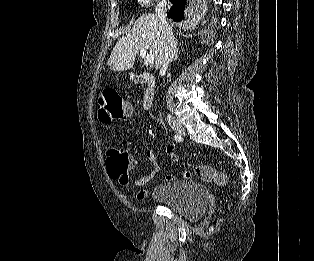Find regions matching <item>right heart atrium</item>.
<instances>
[{"mask_svg": "<svg viewBox=\"0 0 314 261\" xmlns=\"http://www.w3.org/2000/svg\"><path fill=\"white\" fill-rule=\"evenodd\" d=\"M153 0H137V3L142 7H147L152 3Z\"/></svg>", "mask_w": 314, "mask_h": 261, "instance_id": "right-heart-atrium-1", "label": "right heart atrium"}]
</instances>
